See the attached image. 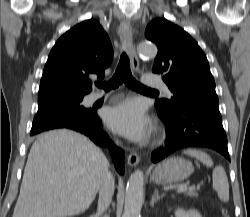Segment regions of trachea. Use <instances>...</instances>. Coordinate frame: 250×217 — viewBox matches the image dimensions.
Here are the masks:
<instances>
[{
	"label": "trachea",
	"instance_id": "obj_1",
	"mask_svg": "<svg viewBox=\"0 0 250 217\" xmlns=\"http://www.w3.org/2000/svg\"><path fill=\"white\" fill-rule=\"evenodd\" d=\"M122 83H125V85L131 89L156 91L142 85L133 77L130 69V60L125 52H123L120 57V61L112 79H110L108 82H98L96 83V86L98 88L104 89L105 91H109L111 89L119 87V85H121Z\"/></svg>",
	"mask_w": 250,
	"mask_h": 217
}]
</instances>
